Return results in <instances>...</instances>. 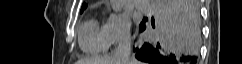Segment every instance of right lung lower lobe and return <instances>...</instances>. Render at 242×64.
I'll return each instance as SVG.
<instances>
[{"label":"right lung lower lobe","instance_id":"1","mask_svg":"<svg viewBox=\"0 0 242 64\" xmlns=\"http://www.w3.org/2000/svg\"><path fill=\"white\" fill-rule=\"evenodd\" d=\"M156 16L158 41L134 48L136 58L150 64H195L200 41L197 0H156ZM145 28L140 26V31Z\"/></svg>","mask_w":242,"mask_h":64}]
</instances>
